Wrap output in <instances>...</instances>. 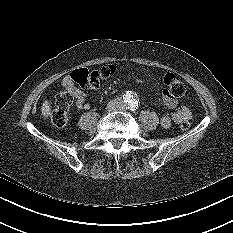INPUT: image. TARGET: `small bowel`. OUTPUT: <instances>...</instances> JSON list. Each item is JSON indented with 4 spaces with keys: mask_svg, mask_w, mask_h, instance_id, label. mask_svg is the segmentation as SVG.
I'll return each instance as SVG.
<instances>
[{
    "mask_svg": "<svg viewBox=\"0 0 233 233\" xmlns=\"http://www.w3.org/2000/svg\"><path fill=\"white\" fill-rule=\"evenodd\" d=\"M62 85L75 99V105L79 110L90 108V103L87 101L88 94L85 91L75 87L70 80V77H65L62 81ZM163 100L168 108L175 110L171 116L166 115L161 117L160 123L163 128H170L172 124H181L182 122L191 119V110L187 106L179 107L178 101L166 94L164 91Z\"/></svg>",
    "mask_w": 233,
    "mask_h": 233,
    "instance_id": "obj_1",
    "label": "small bowel"
}]
</instances>
